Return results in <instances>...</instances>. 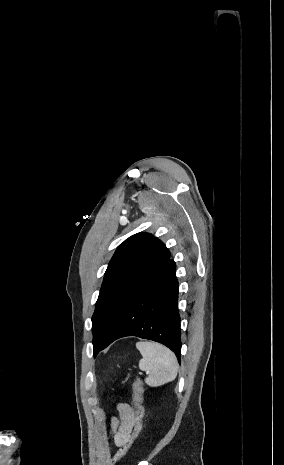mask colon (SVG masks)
Here are the masks:
<instances>
[{"instance_id": "colon-1", "label": "colon", "mask_w": 284, "mask_h": 465, "mask_svg": "<svg viewBox=\"0 0 284 465\" xmlns=\"http://www.w3.org/2000/svg\"><path fill=\"white\" fill-rule=\"evenodd\" d=\"M143 394H144V390L142 387L141 380L135 379L133 382V399H134V406L137 412V418L135 420L134 436H132L126 443H124L122 445V449H119V452L116 453L115 455L116 457H114L113 465H119L118 462H122L123 458H126V454L133 453V450L131 448L135 445V442L137 441V438L135 436L139 433L141 424H142Z\"/></svg>"}]
</instances>
